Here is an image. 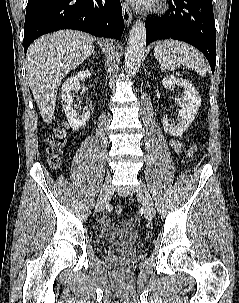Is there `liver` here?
Masks as SVG:
<instances>
[{
	"label": "liver",
	"instance_id": "liver-1",
	"mask_svg": "<svg viewBox=\"0 0 239 303\" xmlns=\"http://www.w3.org/2000/svg\"><path fill=\"white\" fill-rule=\"evenodd\" d=\"M93 36L62 30L35 40L27 51V79L45 123L52 122L58 87L72 69L89 57Z\"/></svg>",
	"mask_w": 239,
	"mask_h": 303
}]
</instances>
